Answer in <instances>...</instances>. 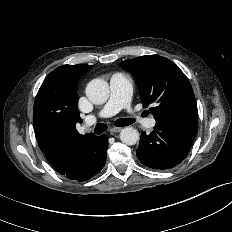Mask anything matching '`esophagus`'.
Listing matches in <instances>:
<instances>
[{
	"mask_svg": "<svg viewBox=\"0 0 232 232\" xmlns=\"http://www.w3.org/2000/svg\"><path fill=\"white\" fill-rule=\"evenodd\" d=\"M121 130H122L121 127H112V128H110L109 132H110V134H114V133L120 132Z\"/></svg>",
	"mask_w": 232,
	"mask_h": 232,
	"instance_id": "obj_1",
	"label": "esophagus"
}]
</instances>
